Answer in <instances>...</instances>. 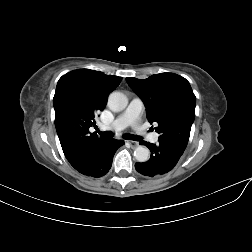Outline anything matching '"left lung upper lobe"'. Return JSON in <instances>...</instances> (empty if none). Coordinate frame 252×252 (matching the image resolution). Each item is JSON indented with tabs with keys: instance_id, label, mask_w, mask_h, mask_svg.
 I'll use <instances>...</instances> for the list:
<instances>
[{
	"instance_id": "1",
	"label": "left lung upper lobe",
	"mask_w": 252,
	"mask_h": 252,
	"mask_svg": "<svg viewBox=\"0 0 252 252\" xmlns=\"http://www.w3.org/2000/svg\"><path fill=\"white\" fill-rule=\"evenodd\" d=\"M143 100L148 121L156 123L160 139L187 146L195 119L196 97L189 82L174 73L154 74L147 79L126 78Z\"/></svg>"
}]
</instances>
